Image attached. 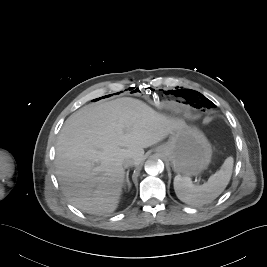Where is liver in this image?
<instances>
[{"label":"liver","instance_id":"6515ba94","mask_svg":"<svg viewBox=\"0 0 267 267\" xmlns=\"http://www.w3.org/2000/svg\"><path fill=\"white\" fill-rule=\"evenodd\" d=\"M186 126L129 97L80 108L65 121L57 140L55 168L64 195L89 214L114 212L124 184L123 161L141 164L144 148Z\"/></svg>","mask_w":267,"mask_h":267}]
</instances>
